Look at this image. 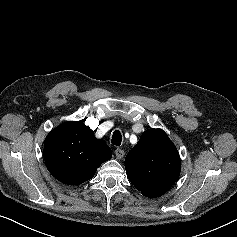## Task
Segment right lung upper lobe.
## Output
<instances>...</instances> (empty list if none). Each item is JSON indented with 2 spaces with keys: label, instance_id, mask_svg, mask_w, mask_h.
<instances>
[{
  "label": "right lung upper lobe",
  "instance_id": "cb5924a9",
  "mask_svg": "<svg viewBox=\"0 0 237 237\" xmlns=\"http://www.w3.org/2000/svg\"><path fill=\"white\" fill-rule=\"evenodd\" d=\"M111 155L109 146L97 139L82 121L59 125L47 135L44 143L47 169L68 185H79L91 179Z\"/></svg>",
  "mask_w": 237,
  "mask_h": 237
}]
</instances>
